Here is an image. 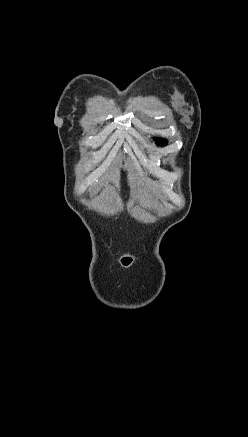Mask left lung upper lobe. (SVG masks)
<instances>
[{
	"instance_id": "obj_1",
	"label": "left lung upper lobe",
	"mask_w": 248,
	"mask_h": 437,
	"mask_svg": "<svg viewBox=\"0 0 248 437\" xmlns=\"http://www.w3.org/2000/svg\"><path fill=\"white\" fill-rule=\"evenodd\" d=\"M159 145H165L166 141L164 139H160L157 141Z\"/></svg>"
}]
</instances>
